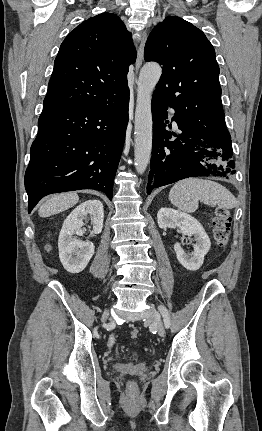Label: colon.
<instances>
[{
  "label": "colon",
  "instance_id": "colon-1",
  "mask_svg": "<svg viewBox=\"0 0 262 431\" xmlns=\"http://www.w3.org/2000/svg\"><path fill=\"white\" fill-rule=\"evenodd\" d=\"M231 227V215L227 209L217 208L213 220V238L215 244L224 249L229 241ZM139 329L134 328L131 330V337L137 338L139 336Z\"/></svg>",
  "mask_w": 262,
  "mask_h": 431
}]
</instances>
